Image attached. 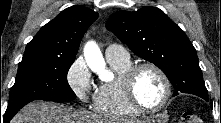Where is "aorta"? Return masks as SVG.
Returning a JSON list of instances; mask_svg holds the SVG:
<instances>
[{
  "label": "aorta",
  "mask_w": 221,
  "mask_h": 123,
  "mask_svg": "<svg viewBox=\"0 0 221 123\" xmlns=\"http://www.w3.org/2000/svg\"><path fill=\"white\" fill-rule=\"evenodd\" d=\"M84 57L88 67L99 75H104L106 65L98 45L89 41L84 48Z\"/></svg>",
  "instance_id": "762f6f07"
}]
</instances>
